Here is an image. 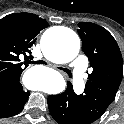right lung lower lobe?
<instances>
[{"label": "right lung lower lobe", "instance_id": "1", "mask_svg": "<svg viewBox=\"0 0 124 124\" xmlns=\"http://www.w3.org/2000/svg\"><path fill=\"white\" fill-rule=\"evenodd\" d=\"M30 93L23 90L20 82L0 86V118L14 116L26 103Z\"/></svg>", "mask_w": 124, "mask_h": 124}]
</instances>
